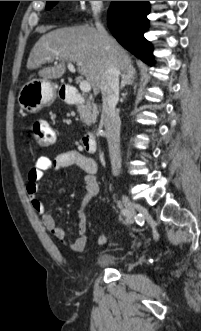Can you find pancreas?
Wrapping results in <instances>:
<instances>
[{
    "label": "pancreas",
    "instance_id": "1",
    "mask_svg": "<svg viewBox=\"0 0 201 331\" xmlns=\"http://www.w3.org/2000/svg\"><path fill=\"white\" fill-rule=\"evenodd\" d=\"M77 111L84 124L90 125L91 123L96 122L98 115L96 104L87 101L85 105H78Z\"/></svg>",
    "mask_w": 201,
    "mask_h": 331
}]
</instances>
